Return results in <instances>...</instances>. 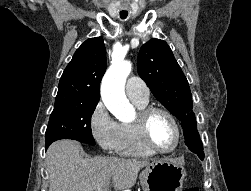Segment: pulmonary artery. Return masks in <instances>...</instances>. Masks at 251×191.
<instances>
[{"instance_id": "e3ab8cb5", "label": "pulmonary artery", "mask_w": 251, "mask_h": 191, "mask_svg": "<svg viewBox=\"0 0 251 191\" xmlns=\"http://www.w3.org/2000/svg\"><path fill=\"white\" fill-rule=\"evenodd\" d=\"M125 91L127 96L133 101L148 100V88L145 82L137 77H131L126 81Z\"/></svg>"}]
</instances>
